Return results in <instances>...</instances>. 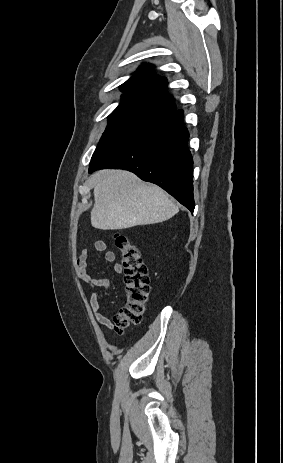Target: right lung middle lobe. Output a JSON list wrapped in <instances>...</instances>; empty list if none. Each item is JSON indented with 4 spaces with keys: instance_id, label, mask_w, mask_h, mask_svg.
<instances>
[{
    "instance_id": "obj_1",
    "label": "right lung middle lobe",
    "mask_w": 283,
    "mask_h": 463,
    "mask_svg": "<svg viewBox=\"0 0 283 463\" xmlns=\"http://www.w3.org/2000/svg\"><path fill=\"white\" fill-rule=\"evenodd\" d=\"M161 115L156 109L129 102L123 98L120 105L110 114L108 126L93 155L99 153L122 136L141 128Z\"/></svg>"
}]
</instances>
